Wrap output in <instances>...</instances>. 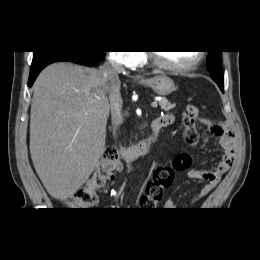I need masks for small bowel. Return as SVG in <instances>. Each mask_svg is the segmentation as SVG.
I'll use <instances>...</instances> for the list:
<instances>
[{
    "label": "small bowel",
    "mask_w": 260,
    "mask_h": 260,
    "mask_svg": "<svg viewBox=\"0 0 260 260\" xmlns=\"http://www.w3.org/2000/svg\"><path fill=\"white\" fill-rule=\"evenodd\" d=\"M160 119L163 121L165 126H168L174 122V116L171 113L163 114ZM197 121L206 125L209 132L218 137L220 146L224 150V155L221 161L212 170H199L196 168H191L188 170L187 176L189 178L206 181L202 189L192 199L191 204H194L199 199L207 196L217 186L222 176L233 165L236 155V131L230 123L217 122L207 118H201L199 113L196 116V122ZM140 205L143 208H154L156 206L155 204L150 203L145 196L141 198ZM163 208L166 210H177L175 202L171 199H166L163 202Z\"/></svg>",
    "instance_id": "1"
}]
</instances>
